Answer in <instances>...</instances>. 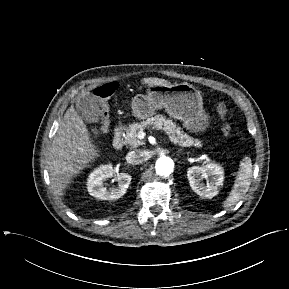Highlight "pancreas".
I'll return each instance as SVG.
<instances>
[{"mask_svg": "<svg viewBox=\"0 0 289 289\" xmlns=\"http://www.w3.org/2000/svg\"><path fill=\"white\" fill-rule=\"evenodd\" d=\"M152 127L156 130H162L169 136V139L174 144H178L182 147H200L201 142L198 139H194L181 131L172 120L166 119L163 115H155L154 117L147 118L140 123H133L126 129L125 143L132 147L142 145L143 142L138 138V132L143 131L146 128Z\"/></svg>", "mask_w": 289, "mask_h": 289, "instance_id": "obj_1", "label": "pancreas"}]
</instances>
